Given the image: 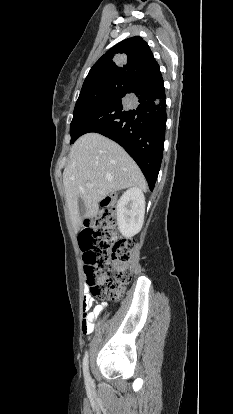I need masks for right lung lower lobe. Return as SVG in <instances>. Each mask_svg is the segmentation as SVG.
Segmentation results:
<instances>
[{
    "label": "right lung lower lobe",
    "instance_id": "right-lung-lower-lobe-1",
    "mask_svg": "<svg viewBox=\"0 0 233 414\" xmlns=\"http://www.w3.org/2000/svg\"><path fill=\"white\" fill-rule=\"evenodd\" d=\"M132 82L126 93L82 122L78 137L96 132L117 142L141 168L152 191L163 156L167 120L164 82L161 72Z\"/></svg>",
    "mask_w": 233,
    "mask_h": 414
}]
</instances>
